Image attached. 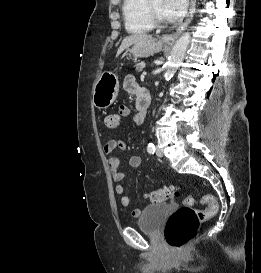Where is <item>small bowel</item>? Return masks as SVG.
Returning a JSON list of instances; mask_svg holds the SVG:
<instances>
[{"label": "small bowel", "mask_w": 261, "mask_h": 273, "mask_svg": "<svg viewBox=\"0 0 261 273\" xmlns=\"http://www.w3.org/2000/svg\"><path fill=\"white\" fill-rule=\"evenodd\" d=\"M124 87L129 92L132 93L138 98L142 92V90L138 87L135 82L134 77L127 76L124 81ZM121 112L124 116L128 114V109L124 106L121 107ZM125 151L126 144L124 141L120 139H111L109 140L103 147V151L107 156L109 170L112 176L113 181L120 183L124 177L125 173L120 169V159L115 155V151ZM142 159L137 155H133L128 160V166L131 168H137L141 165ZM115 191L118 195L121 196L120 205L124 209H128L130 204V198L125 194V186L123 184H118L115 188ZM132 216L138 217L141 214L140 209H133L131 211Z\"/></svg>", "instance_id": "1"}]
</instances>
